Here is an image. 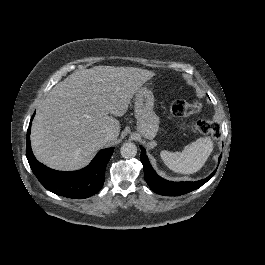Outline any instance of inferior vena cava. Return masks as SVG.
<instances>
[{
    "mask_svg": "<svg viewBox=\"0 0 265 265\" xmlns=\"http://www.w3.org/2000/svg\"><path fill=\"white\" fill-rule=\"evenodd\" d=\"M104 137L106 140L110 141L114 138V132L111 129H107L104 133Z\"/></svg>",
    "mask_w": 265,
    "mask_h": 265,
    "instance_id": "602c4592",
    "label": "inferior vena cava"
}]
</instances>
